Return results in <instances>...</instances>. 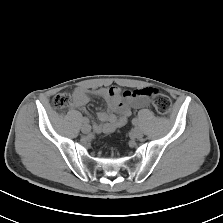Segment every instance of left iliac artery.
Segmentation results:
<instances>
[{
	"instance_id": "obj_1",
	"label": "left iliac artery",
	"mask_w": 223,
	"mask_h": 223,
	"mask_svg": "<svg viewBox=\"0 0 223 223\" xmlns=\"http://www.w3.org/2000/svg\"><path fill=\"white\" fill-rule=\"evenodd\" d=\"M132 124L135 125V126H137L139 124L138 119L134 118L132 120Z\"/></svg>"
}]
</instances>
